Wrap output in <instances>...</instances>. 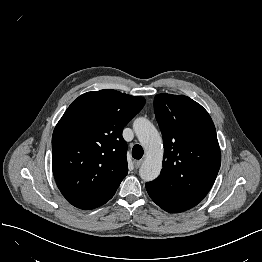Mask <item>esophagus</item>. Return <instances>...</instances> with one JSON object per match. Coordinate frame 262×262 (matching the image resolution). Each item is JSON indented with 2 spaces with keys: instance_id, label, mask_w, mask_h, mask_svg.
I'll list each match as a JSON object with an SVG mask.
<instances>
[{
  "instance_id": "34e87169",
  "label": "esophagus",
  "mask_w": 262,
  "mask_h": 262,
  "mask_svg": "<svg viewBox=\"0 0 262 262\" xmlns=\"http://www.w3.org/2000/svg\"><path fill=\"white\" fill-rule=\"evenodd\" d=\"M142 163H143V160H136V161H134V166H135V168H136V169L139 168Z\"/></svg>"
}]
</instances>
